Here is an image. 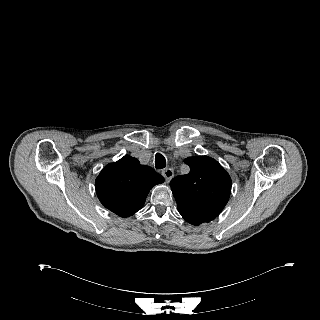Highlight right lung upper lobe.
I'll use <instances>...</instances> for the list:
<instances>
[{
	"label": "right lung upper lobe",
	"mask_w": 320,
	"mask_h": 320,
	"mask_svg": "<svg viewBox=\"0 0 320 320\" xmlns=\"http://www.w3.org/2000/svg\"><path fill=\"white\" fill-rule=\"evenodd\" d=\"M164 178L136 158L124 156L107 164L95 181V189L104 207L120 217H129L139 211L156 184Z\"/></svg>",
	"instance_id": "obj_1"
}]
</instances>
